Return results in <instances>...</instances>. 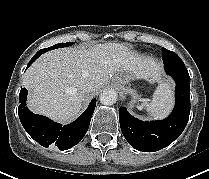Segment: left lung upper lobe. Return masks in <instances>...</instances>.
<instances>
[{"instance_id":"1","label":"left lung upper lobe","mask_w":209,"mask_h":179,"mask_svg":"<svg viewBox=\"0 0 209 179\" xmlns=\"http://www.w3.org/2000/svg\"><path fill=\"white\" fill-rule=\"evenodd\" d=\"M162 51H163V62L165 65H174L182 62V60L180 59V57H178L176 53L169 51L165 48H163Z\"/></svg>"}]
</instances>
